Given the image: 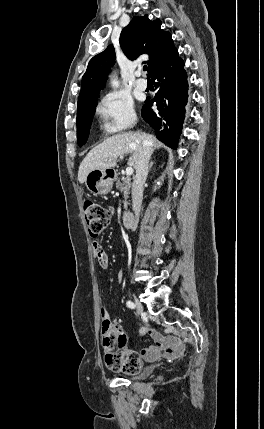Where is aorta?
<instances>
[{
    "instance_id": "aorta-1",
    "label": "aorta",
    "mask_w": 264,
    "mask_h": 429,
    "mask_svg": "<svg viewBox=\"0 0 264 429\" xmlns=\"http://www.w3.org/2000/svg\"><path fill=\"white\" fill-rule=\"evenodd\" d=\"M111 85L113 87H117L119 85V82H118L117 78H112L111 79Z\"/></svg>"
}]
</instances>
